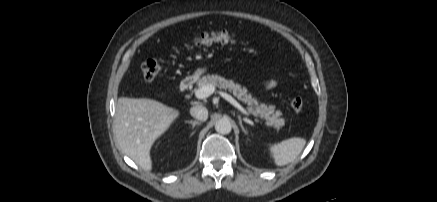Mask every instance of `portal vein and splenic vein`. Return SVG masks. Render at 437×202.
I'll return each instance as SVG.
<instances>
[{
    "label": "portal vein and splenic vein",
    "mask_w": 437,
    "mask_h": 202,
    "mask_svg": "<svg viewBox=\"0 0 437 202\" xmlns=\"http://www.w3.org/2000/svg\"><path fill=\"white\" fill-rule=\"evenodd\" d=\"M214 91L215 88L212 85H205L195 91V97L198 99H205L213 94ZM219 94L243 114L249 115V113L231 95L224 92H219Z\"/></svg>",
    "instance_id": "18ae733b"
}]
</instances>
